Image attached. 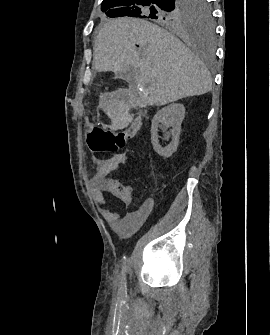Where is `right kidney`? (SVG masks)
<instances>
[{
    "mask_svg": "<svg viewBox=\"0 0 270 335\" xmlns=\"http://www.w3.org/2000/svg\"><path fill=\"white\" fill-rule=\"evenodd\" d=\"M184 118L185 108L183 104H169V106H165V108H161V110L156 112L151 126V144L159 156L170 158L173 152H176ZM160 124H163L161 128H170V126L173 128L171 132L172 140L166 148H162L159 144L157 132ZM165 136H169V132H166Z\"/></svg>",
    "mask_w": 270,
    "mask_h": 335,
    "instance_id": "obj_1",
    "label": "right kidney"
}]
</instances>
